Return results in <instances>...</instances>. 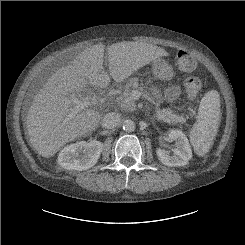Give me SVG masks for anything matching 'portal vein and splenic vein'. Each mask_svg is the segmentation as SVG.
I'll return each instance as SVG.
<instances>
[{"label": "portal vein and splenic vein", "mask_w": 245, "mask_h": 245, "mask_svg": "<svg viewBox=\"0 0 245 245\" xmlns=\"http://www.w3.org/2000/svg\"><path fill=\"white\" fill-rule=\"evenodd\" d=\"M139 96H140V92H138L137 90H134L132 91L130 97L124 100V103L136 100L138 99ZM70 99L73 103V108L71 109V112L68 114L67 120L72 119L79 111L85 108L100 105L96 96H93L91 99H88V98L79 99L74 94H71Z\"/></svg>", "instance_id": "1"}]
</instances>
